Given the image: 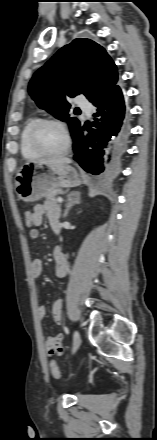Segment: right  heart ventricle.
Returning <instances> with one entry per match:
<instances>
[{
    "instance_id": "right-heart-ventricle-1",
    "label": "right heart ventricle",
    "mask_w": 157,
    "mask_h": 440,
    "mask_svg": "<svg viewBox=\"0 0 157 440\" xmlns=\"http://www.w3.org/2000/svg\"><path fill=\"white\" fill-rule=\"evenodd\" d=\"M37 117H31L25 123L20 135V149L24 158L32 160L41 157V154L36 152L29 143V133L32 126L38 121Z\"/></svg>"
}]
</instances>
